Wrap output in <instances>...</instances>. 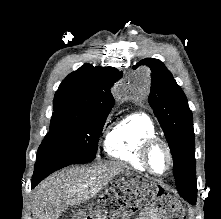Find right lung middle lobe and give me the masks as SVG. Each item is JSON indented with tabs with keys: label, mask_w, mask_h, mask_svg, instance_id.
<instances>
[{
	"label": "right lung middle lobe",
	"mask_w": 221,
	"mask_h": 219,
	"mask_svg": "<svg viewBox=\"0 0 221 219\" xmlns=\"http://www.w3.org/2000/svg\"><path fill=\"white\" fill-rule=\"evenodd\" d=\"M108 114L79 115L54 111L50 131L42 141L36 159L53 157L72 164L94 160Z\"/></svg>",
	"instance_id": "right-lung-middle-lobe-1"
}]
</instances>
